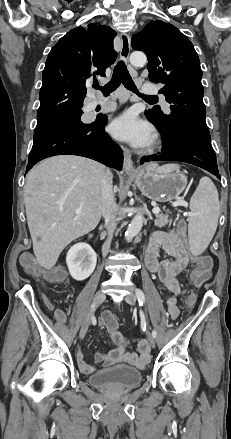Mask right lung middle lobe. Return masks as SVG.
Listing matches in <instances>:
<instances>
[{
	"mask_svg": "<svg viewBox=\"0 0 231 439\" xmlns=\"http://www.w3.org/2000/svg\"><path fill=\"white\" fill-rule=\"evenodd\" d=\"M82 114L83 112L81 109H76V110H70L63 113H59L46 118L37 119V126L35 128V132L45 129L47 127L61 125V124L85 126L87 124L81 121Z\"/></svg>",
	"mask_w": 231,
	"mask_h": 439,
	"instance_id": "right-lung-middle-lobe-1",
	"label": "right lung middle lobe"
}]
</instances>
